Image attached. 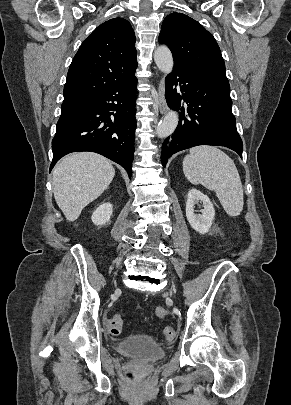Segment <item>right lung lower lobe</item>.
Here are the masks:
<instances>
[{
  "instance_id": "right-lung-lower-lobe-1",
  "label": "right lung lower lobe",
  "mask_w": 291,
  "mask_h": 405,
  "mask_svg": "<svg viewBox=\"0 0 291 405\" xmlns=\"http://www.w3.org/2000/svg\"><path fill=\"white\" fill-rule=\"evenodd\" d=\"M137 78L112 84L60 117L52 140L50 171L64 155L76 151L99 153L132 174L136 130Z\"/></svg>"
}]
</instances>
